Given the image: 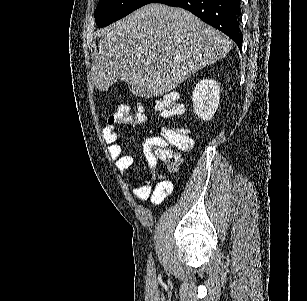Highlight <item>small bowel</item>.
Segmentation results:
<instances>
[{
  "label": "small bowel",
  "instance_id": "1",
  "mask_svg": "<svg viewBox=\"0 0 307 301\" xmlns=\"http://www.w3.org/2000/svg\"><path fill=\"white\" fill-rule=\"evenodd\" d=\"M104 141L109 145L110 157L115 161L116 168L122 175L133 165L132 155L125 153V146L118 142V129L116 125H106L102 131ZM160 143L158 136H152L145 140L143 151L150 172V179L140 181L139 185L131 190L132 196L139 201L149 199L152 206L161 205L174 190L173 183L162 175L155 173L157 157L153 153V147ZM156 183L154 184V182Z\"/></svg>",
  "mask_w": 307,
  "mask_h": 301
}]
</instances>
